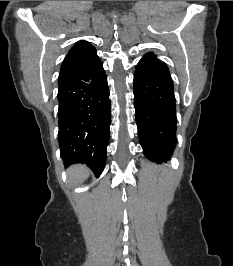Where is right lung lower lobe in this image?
Segmentation results:
<instances>
[{
	"label": "right lung lower lobe",
	"mask_w": 233,
	"mask_h": 266,
	"mask_svg": "<svg viewBox=\"0 0 233 266\" xmlns=\"http://www.w3.org/2000/svg\"><path fill=\"white\" fill-rule=\"evenodd\" d=\"M58 84V141L64 165L87 164L98 177L104 169L111 122L103 64L96 55Z\"/></svg>",
	"instance_id": "1"
}]
</instances>
